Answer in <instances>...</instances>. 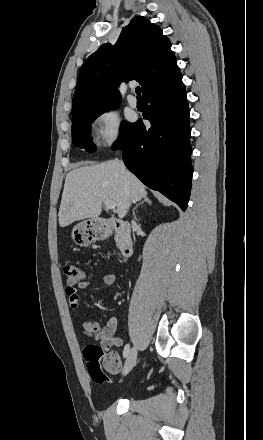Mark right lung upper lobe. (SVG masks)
<instances>
[{"label":"right lung upper lobe","instance_id":"right-lung-upper-lobe-1","mask_svg":"<svg viewBox=\"0 0 263 440\" xmlns=\"http://www.w3.org/2000/svg\"><path fill=\"white\" fill-rule=\"evenodd\" d=\"M177 71L171 44L159 26L135 17L123 28L114 46L103 44L82 65L73 96L72 118L118 106L121 96L117 86L122 80H137L144 95Z\"/></svg>","mask_w":263,"mask_h":440}]
</instances>
